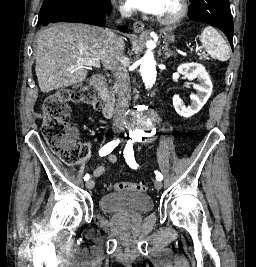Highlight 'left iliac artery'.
<instances>
[{"label":"left iliac artery","instance_id":"left-iliac-artery-1","mask_svg":"<svg viewBox=\"0 0 256 267\" xmlns=\"http://www.w3.org/2000/svg\"><path fill=\"white\" fill-rule=\"evenodd\" d=\"M123 153H124V158H125L127 164L131 168L136 169L138 167V164L136 163L135 158H134V151H133V147H132V142L128 141ZM155 174H156L157 180L161 181L163 179V175L160 172L155 171Z\"/></svg>","mask_w":256,"mask_h":267}]
</instances>
